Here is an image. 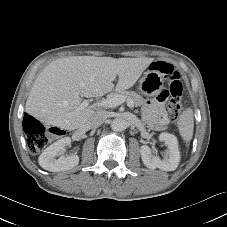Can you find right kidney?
Here are the masks:
<instances>
[{
    "label": "right kidney",
    "instance_id": "1",
    "mask_svg": "<svg viewBox=\"0 0 227 227\" xmlns=\"http://www.w3.org/2000/svg\"><path fill=\"white\" fill-rule=\"evenodd\" d=\"M71 143V138L64 137L47 147L39 156V165L51 172L66 171L74 168L79 163V157L75 154L55 157L60 154L64 148Z\"/></svg>",
    "mask_w": 227,
    "mask_h": 227
}]
</instances>
